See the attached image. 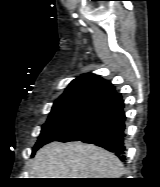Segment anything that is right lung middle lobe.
I'll return each mask as SVG.
<instances>
[{"mask_svg": "<svg viewBox=\"0 0 160 187\" xmlns=\"http://www.w3.org/2000/svg\"><path fill=\"white\" fill-rule=\"evenodd\" d=\"M97 105L87 103L68 104L53 107L48 120L43 125L32 155L43 145L57 140L85 120Z\"/></svg>", "mask_w": 160, "mask_h": 187, "instance_id": "dd1d6c3e", "label": "right lung middle lobe"}]
</instances>
